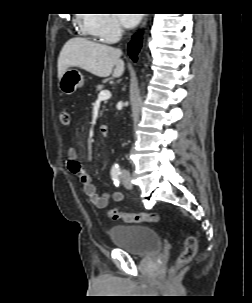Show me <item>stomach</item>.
<instances>
[{"label": "stomach", "instance_id": "stomach-1", "mask_svg": "<svg viewBox=\"0 0 252 303\" xmlns=\"http://www.w3.org/2000/svg\"><path fill=\"white\" fill-rule=\"evenodd\" d=\"M84 77L82 73L74 68L67 69L58 81L59 90L66 94L71 95L77 88L83 86Z\"/></svg>", "mask_w": 252, "mask_h": 303}]
</instances>
